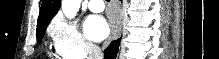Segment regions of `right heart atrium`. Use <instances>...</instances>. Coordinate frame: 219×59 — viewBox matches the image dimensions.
Returning <instances> with one entry per match:
<instances>
[{
  "instance_id": "d8ad5b80",
  "label": "right heart atrium",
  "mask_w": 219,
  "mask_h": 59,
  "mask_svg": "<svg viewBox=\"0 0 219 59\" xmlns=\"http://www.w3.org/2000/svg\"><path fill=\"white\" fill-rule=\"evenodd\" d=\"M49 34L56 53L63 59H87L95 54L96 46L73 21L56 18L51 24Z\"/></svg>"
}]
</instances>
